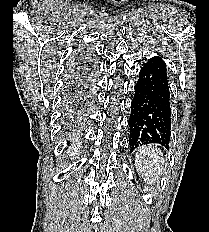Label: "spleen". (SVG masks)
<instances>
[{
    "label": "spleen",
    "instance_id": "3e777b00",
    "mask_svg": "<svg viewBox=\"0 0 209 232\" xmlns=\"http://www.w3.org/2000/svg\"><path fill=\"white\" fill-rule=\"evenodd\" d=\"M164 162L163 153L153 145L140 147L135 155L137 171L149 184L160 180Z\"/></svg>",
    "mask_w": 209,
    "mask_h": 232
}]
</instances>
